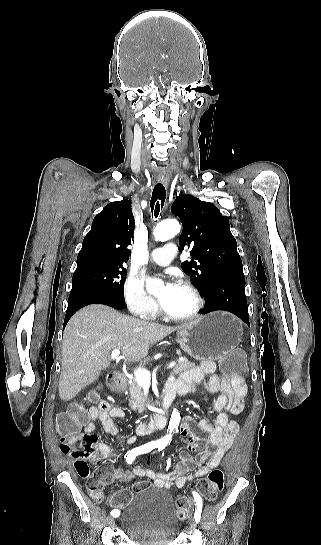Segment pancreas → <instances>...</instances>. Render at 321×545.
<instances>
[{
    "instance_id": "1",
    "label": "pancreas",
    "mask_w": 321,
    "mask_h": 545,
    "mask_svg": "<svg viewBox=\"0 0 321 545\" xmlns=\"http://www.w3.org/2000/svg\"><path fill=\"white\" fill-rule=\"evenodd\" d=\"M195 363H190V361H187V359H184V361H179L175 367H173L170 377H175V375H181V373H184V371H188V369H191V367H194ZM143 387L141 385H138L137 381L133 379L132 383H129V393H130V407L133 409V411H137L138 413H143L145 411V401L143 391Z\"/></svg>"
}]
</instances>
